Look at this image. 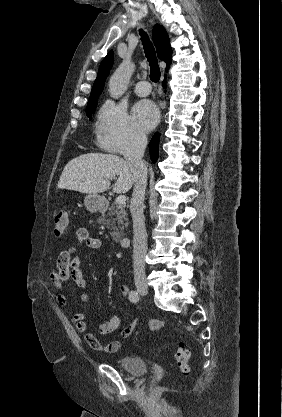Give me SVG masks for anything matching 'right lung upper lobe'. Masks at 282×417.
<instances>
[{"label": "right lung upper lobe", "mask_w": 282, "mask_h": 417, "mask_svg": "<svg viewBox=\"0 0 282 417\" xmlns=\"http://www.w3.org/2000/svg\"><path fill=\"white\" fill-rule=\"evenodd\" d=\"M153 41L156 46L159 59L164 60L167 66H169L171 64V59H172V50L170 47L168 34L163 28V26L156 25L154 27ZM113 60H114V56H113V51L111 50L109 51L107 56L104 58V60L100 64L98 75L94 82L90 97L101 94L103 87H104L105 80L113 65ZM167 69L168 67L166 68V70Z\"/></svg>", "instance_id": "1"}]
</instances>
